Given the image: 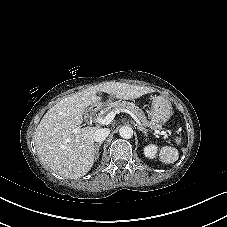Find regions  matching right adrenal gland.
Wrapping results in <instances>:
<instances>
[{
    "label": "right adrenal gland",
    "instance_id": "2a0ac1e0",
    "mask_svg": "<svg viewBox=\"0 0 227 227\" xmlns=\"http://www.w3.org/2000/svg\"><path fill=\"white\" fill-rule=\"evenodd\" d=\"M101 145H102V142L96 143V144L94 145L95 160H97V159L99 158V155H100L99 149H100V146H101Z\"/></svg>",
    "mask_w": 227,
    "mask_h": 227
}]
</instances>
